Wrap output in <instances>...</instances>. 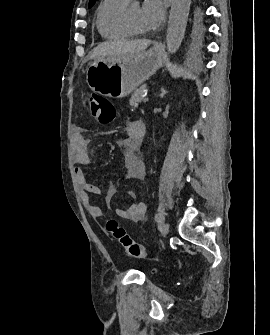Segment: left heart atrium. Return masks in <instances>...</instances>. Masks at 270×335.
Returning <instances> with one entry per match:
<instances>
[{
	"instance_id": "obj_1",
	"label": "left heart atrium",
	"mask_w": 270,
	"mask_h": 335,
	"mask_svg": "<svg viewBox=\"0 0 270 335\" xmlns=\"http://www.w3.org/2000/svg\"><path fill=\"white\" fill-rule=\"evenodd\" d=\"M165 21L164 5L160 0H147L141 8V30L148 34H154Z\"/></svg>"
}]
</instances>
